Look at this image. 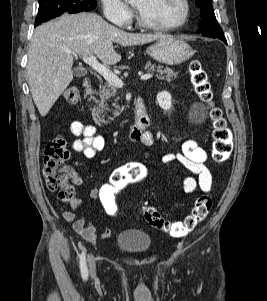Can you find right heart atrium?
Here are the masks:
<instances>
[{
  "mask_svg": "<svg viewBox=\"0 0 267 301\" xmlns=\"http://www.w3.org/2000/svg\"><path fill=\"white\" fill-rule=\"evenodd\" d=\"M104 16L119 25L127 27L133 17L132 11L121 0H101Z\"/></svg>",
  "mask_w": 267,
  "mask_h": 301,
  "instance_id": "1",
  "label": "right heart atrium"
}]
</instances>
